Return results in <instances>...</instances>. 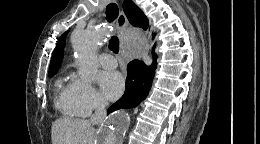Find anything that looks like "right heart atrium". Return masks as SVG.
Wrapping results in <instances>:
<instances>
[{
	"label": "right heart atrium",
	"instance_id": "d8ad5b80",
	"mask_svg": "<svg viewBox=\"0 0 260 144\" xmlns=\"http://www.w3.org/2000/svg\"><path fill=\"white\" fill-rule=\"evenodd\" d=\"M71 94L74 104L81 116H88L93 111L102 109L105 101L91 84L74 78L71 83Z\"/></svg>",
	"mask_w": 260,
	"mask_h": 144
}]
</instances>
